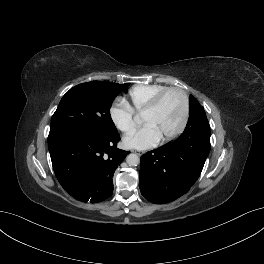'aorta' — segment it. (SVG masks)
I'll return each mask as SVG.
<instances>
[{"label":"aorta","instance_id":"obj_1","mask_svg":"<svg viewBox=\"0 0 264 264\" xmlns=\"http://www.w3.org/2000/svg\"><path fill=\"white\" fill-rule=\"evenodd\" d=\"M126 162L129 166H137L140 163V158L136 154H129L126 158Z\"/></svg>","mask_w":264,"mask_h":264}]
</instances>
